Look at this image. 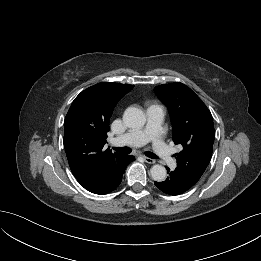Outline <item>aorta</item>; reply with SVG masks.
Masks as SVG:
<instances>
[{
	"mask_svg": "<svg viewBox=\"0 0 261 261\" xmlns=\"http://www.w3.org/2000/svg\"><path fill=\"white\" fill-rule=\"evenodd\" d=\"M124 123L133 129L142 128L146 123L145 113L136 107H129L123 115ZM166 168L162 165H153L150 169V175L154 181L162 182L166 179Z\"/></svg>",
	"mask_w": 261,
	"mask_h": 261,
	"instance_id": "762f6f07",
	"label": "aorta"
}]
</instances>
